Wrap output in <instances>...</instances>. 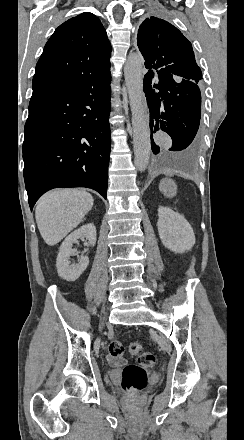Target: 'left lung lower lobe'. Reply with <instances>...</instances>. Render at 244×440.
Listing matches in <instances>:
<instances>
[{
  "label": "left lung lower lobe",
  "instance_id": "0a47b994",
  "mask_svg": "<svg viewBox=\"0 0 244 440\" xmlns=\"http://www.w3.org/2000/svg\"><path fill=\"white\" fill-rule=\"evenodd\" d=\"M159 83L151 85L154 71L144 76V92L150 109V129L167 132L172 138L171 152L191 150L196 143V134L201 116V94L198 83L178 80L172 74L157 73ZM159 90V92H157ZM154 154L160 152L151 136Z\"/></svg>",
  "mask_w": 244,
  "mask_h": 440
}]
</instances>
